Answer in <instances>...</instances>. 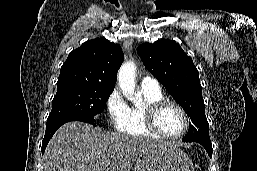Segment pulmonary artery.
<instances>
[{"mask_svg":"<svg viewBox=\"0 0 257 171\" xmlns=\"http://www.w3.org/2000/svg\"><path fill=\"white\" fill-rule=\"evenodd\" d=\"M141 85L149 88H159L158 81L151 76L144 77L141 81Z\"/></svg>","mask_w":257,"mask_h":171,"instance_id":"obj_1","label":"pulmonary artery"}]
</instances>
